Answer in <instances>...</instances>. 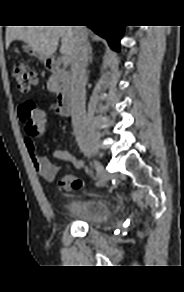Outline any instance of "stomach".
Wrapping results in <instances>:
<instances>
[{
	"label": "stomach",
	"instance_id": "0dacf381",
	"mask_svg": "<svg viewBox=\"0 0 184 292\" xmlns=\"http://www.w3.org/2000/svg\"><path fill=\"white\" fill-rule=\"evenodd\" d=\"M23 51H25L26 53H28L31 56L37 57L40 61L47 63V61L49 60L50 57L40 53L39 51H37L36 49H34L33 47H31L28 44H24L22 46Z\"/></svg>",
	"mask_w": 184,
	"mask_h": 292
}]
</instances>
